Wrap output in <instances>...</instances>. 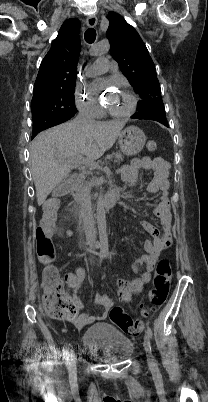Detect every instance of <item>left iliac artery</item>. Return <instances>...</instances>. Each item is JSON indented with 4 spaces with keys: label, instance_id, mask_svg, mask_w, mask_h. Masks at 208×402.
I'll return each mask as SVG.
<instances>
[{
    "label": "left iliac artery",
    "instance_id": "44dca946",
    "mask_svg": "<svg viewBox=\"0 0 208 402\" xmlns=\"http://www.w3.org/2000/svg\"><path fill=\"white\" fill-rule=\"evenodd\" d=\"M147 334L150 337V339H152V330L148 325H147Z\"/></svg>",
    "mask_w": 208,
    "mask_h": 402
}]
</instances>
